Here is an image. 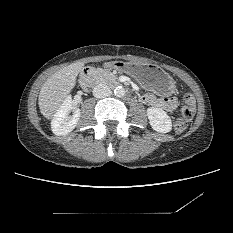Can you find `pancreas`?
Listing matches in <instances>:
<instances>
[{"instance_id":"pancreas-1","label":"pancreas","mask_w":233,"mask_h":233,"mask_svg":"<svg viewBox=\"0 0 233 233\" xmlns=\"http://www.w3.org/2000/svg\"><path fill=\"white\" fill-rule=\"evenodd\" d=\"M94 74L100 83L108 84L116 80V76L105 69L98 68L95 70Z\"/></svg>"}]
</instances>
